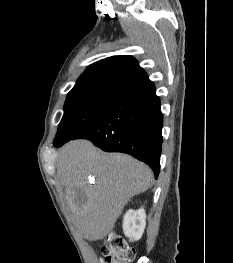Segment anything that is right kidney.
Instances as JSON below:
<instances>
[{
  "mask_svg": "<svg viewBox=\"0 0 233 263\" xmlns=\"http://www.w3.org/2000/svg\"><path fill=\"white\" fill-rule=\"evenodd\" d=\"M146 226V213L144 208L128 210L123 218V231L131 241L139 240Z\"/></svg>",
  "mask_w": 233,
  "mask_h": 263,
  "instance_id": "right-kidney-1",
  "label": "right kidney"
}]
</instances>
